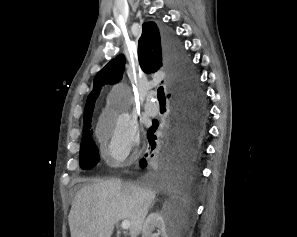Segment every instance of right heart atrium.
I'll use <instances>...</instances> for the list:
<instances>
[{
    "mask_svg": "<svg viewBox=\"0 0 297 237\" xmlns=\"http://www.w3.org/2000/svg\"><path fill=\"white\" fill-rule=\"evenodd\" d=\"M97 135L110 165L126 163L138 153L139 133L135 119L120 109H108L100 117Z\"/></svg>",
    "mask_w": 297,
    "mask_h": 237,
    "instance_id": "d8ad5b80",
    "label": "right heart atrium"
}]
</instances>
